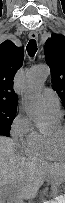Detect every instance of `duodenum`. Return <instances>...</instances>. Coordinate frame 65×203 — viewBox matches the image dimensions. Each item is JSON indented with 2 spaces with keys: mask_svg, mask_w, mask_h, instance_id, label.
I'll return each instance as SVG.
<instances>
[{
  "mask_svg": "<svg viewBox=\"0 0 65 203\" xmlns=\"http://www.w3.org/2000/svg\"><path fill=\"white\" fill-rule=\"evenodd\" d=\"M44 203H51L50 201H46V202H44Z\"/></svg>",
  "mask_w": 65,
  "mask_h": 203,
  "instance_id": "duodenum-1",
  "label": "duodenum"
}]
</instances>
